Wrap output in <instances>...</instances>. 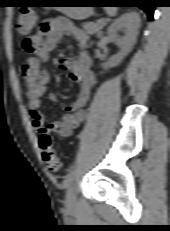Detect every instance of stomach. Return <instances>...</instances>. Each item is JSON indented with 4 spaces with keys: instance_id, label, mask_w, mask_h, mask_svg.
Returning a JSON list of instances; mask_svg holds the SVG:
<instances>
[{
    "instance_id": "0dacf381",
    "label": "stomach",
    "mask_w": 170,
    "mask_h": 231,
    "mask_svg": "<svg viewBox=\"0 0 170 231\" xmlns=\"http://www.w3.org/2000/svg\"><path fill=\"white\" fill-rule=\"evenodd\" d=\"M50 4H72L75 3L74 1L70 0H56V1H48ZM57 9L58 11L64 13L68 17L76 18V19H83L89 16L87 13L86 7H47Z\"/></svg>"
}]
</instances>
